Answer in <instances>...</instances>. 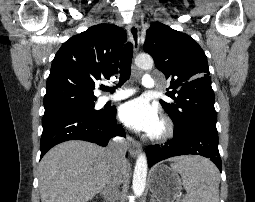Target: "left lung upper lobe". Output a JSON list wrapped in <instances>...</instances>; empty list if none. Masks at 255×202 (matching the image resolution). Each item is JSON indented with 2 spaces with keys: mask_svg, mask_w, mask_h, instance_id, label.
Wrapping results in <instances>:
<instances>
[{
  "mask_svg": "<svg viewBox=\"0 0 255 202\" xmlns=\"http://www.w3.org/2000/svg\"><path fill=\"white\" fill-rule=\"evenodd\" d=\"M144 51L170 81L166 95L174 103L160 101L175 125V132L192 128L216 129L217 114L207 57L185 33L154 22L146 31Z\"/></svg>",
  "mask_w": 255,
  "mask_h": 202,
  "instance_id": "left-lung-upper-lobe-1",
  "label": "left lung upper lobe"
}]
</instances>
